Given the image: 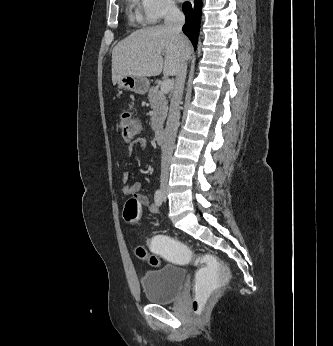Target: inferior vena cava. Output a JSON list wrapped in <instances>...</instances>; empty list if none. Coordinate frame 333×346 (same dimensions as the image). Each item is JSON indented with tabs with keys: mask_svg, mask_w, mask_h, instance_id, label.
I'll use <instances>...</instances> for the list:
<instances>
[{
	"mask_svg": "<svg viewBox=\"0 0 333 346\" xmlns=\"http://www.w3.org/2000/svg\"><path fill=\"white\" fill-rule=\"evenodd\" d=\"M165 26L174 32L180 39V48L184 49V39L182 35V26L185 23L184 14L173 4L166 7V15L164 17ZM187 72V58L182 57L178 71L176 74V81L172 93V99L169 109V115L164 131V140L162 146V159H161V177L167 178L169 175L170 164L172 160L174 144L178 129L180 117V103L184 89V83Z\"/></svg>",
	"mask_w": 333,
	"mask_h": 346,
	"instance_id": "inferior-vena-cava-1",
	"label": "inferior vena cava"
}]
</instances>
